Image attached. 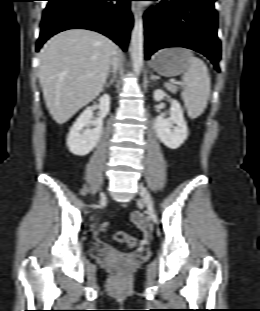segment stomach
<instances>
[{
	"label": "stomach",
	"instance_id": "stomach-1",
	"mask_svg": "<svg viewBox=\"0 0 260 311\" xmlns=\"http://www.w3.org/2000/svg\"><path fill=\"white\" fill-rule=\"evenodd\" d=\"M191 55L183 48H167L159 51L151 60V67L165 77L180 75L188 70Z\"/></svg>",
	"mask_w": 260,
	"mask_h": 311
}]
</instances>
